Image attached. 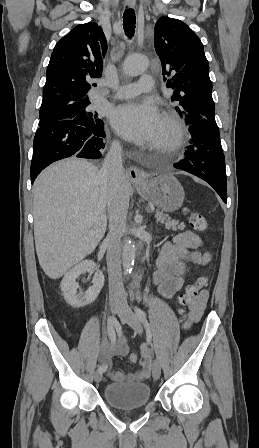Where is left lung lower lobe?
Returning a JSON list of instances; mask_svg holds the SVG:
<instances>
[{"label":"left lung lower lobe","instance_id":"obj_1","mask_svg":"<svg viewBox=\"0 0 259 448\" xmlns=\"http://www.w3.org/2000/svg\"><path fill=\"white\" fill-rule=\"evenodd\" d=\"M185 122L190 125L191 145L186 147L185 158L174 167L205 180L227 203L225 157L215 118L187 114Z\"/></svg>","mask_w":259,"mask_h":448}]
</instances>
